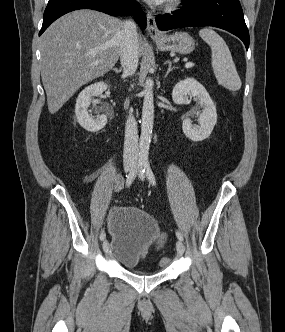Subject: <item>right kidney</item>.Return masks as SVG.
<instances>
[{"mask_svg": "<svg viewBox=\"0 0 285 332\" xmlns=\"http://www.w3.org/2000/svg\"><path fill=\"white\" fill-rule=\"evenodd\" d=\"M108 85L104 82H97L86 87L79 95L75 105V115L78 123L82 128L89 132H97L101 130L107 123V116L100 115L97 118H93L91 111H88L91 98L93 96H99L102 92L108 89Z\"/></svg>", "mask_w": 285, "mask_h": 332, "instance_id": "right-kidney-1", "label": "right kidney"}]
</instances>
